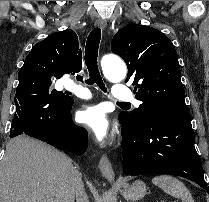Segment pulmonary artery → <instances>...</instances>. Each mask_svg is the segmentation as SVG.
<instances>
[{
	"mask_svg": "<svg viewBox=\"0 0 209 202\" xmlns=\"http://www.w3.org/2000/svg\"><path fill=\"white\" fill-rule=\"evenodd\" d=\"M63 85L81 99L88 100L92 97L91 92L87 88L74 85L71 79H65ZM112 98L119 102H132L135 106L140 104L139 100L133 98L131 90L121 87L119 83L114 84Z\"/></svg>",
	"mask_w": 209,
	"mask_h": 202,
	"instance_id": "e3ab8cb5",
	"label": "pulmonary artery"
}]
</instances>
